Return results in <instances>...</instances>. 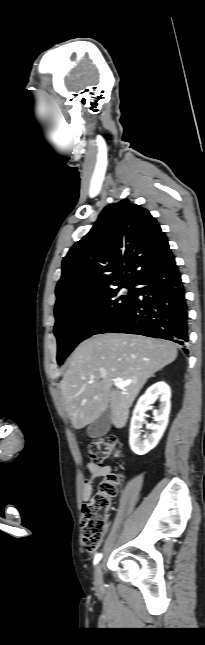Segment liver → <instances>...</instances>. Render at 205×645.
Masks as SVG:
<instances>
[{
	"instance_id": "liver-1",
	"label": "liver",
	"mask_w": 205,
	"mask_h": 645,
	"mask_svg": "<svg viewBox=\"0 0 205 645\" xmlns=\"http://www.w3.org/2000/svg\"><path fill=\"white\" fill-rule=\"evenodd\" d=\"M176 357L172 342L140 335L98 334L80 343L60 383L64 409L73 428L93 423L108 407L112 424L124 427L144 384ZM116 378L132 383L115 391Z\"/></svg>"
}]
</instances>
